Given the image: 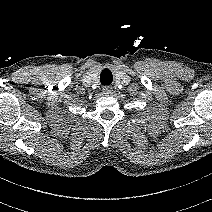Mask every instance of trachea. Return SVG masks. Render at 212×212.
I'll return each instance as SVG.
<instances>
[{
  "label": "trachea",
  "mask_w": 212,
  "mask_h": 212,
  "mask_svg": "<svg viewBox=\"0 0 212 212\" xmlns=\"http://www.w3.org/2000/svg\"><path fill=\"white\" fill-rule=\"evenodd\" d=\"M113 76L112 72L109 69H104L100 75V82L103 85H110L112 83Z\"/></svg>",
  "instance_id": "trachea-1"
}]
</instances>
